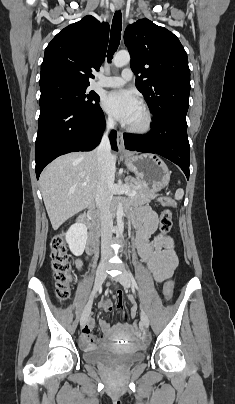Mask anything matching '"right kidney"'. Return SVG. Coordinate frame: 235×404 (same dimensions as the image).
<instances>
[{
    "label": "right kidney",
    "mask_w": 235,
    "mask_h": 404,
    "mask_svg": "<svg viewBox=\"0 0 235 404\" xmlns=\"http://www.w3.org/2000/svg\"><path fill=\"white\" fill-rule=\"evenodd\" d=\"M66 241L75 256L83 254L87 241V228L83 224H73L66 233Z\"/></svg>",
    "instance_id": "ca27d5eb"
}]
</instances>
